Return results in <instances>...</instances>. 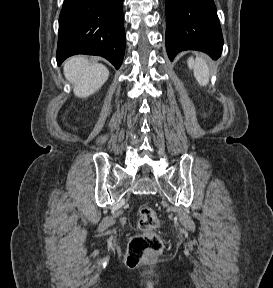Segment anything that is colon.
<instances>
[{
    "mask_svg": "<svg viewBox=\"0 0 273 288\" xmlns=\"http://www.w3.org/2000/svg\"><path fill=\"white\" fill-rule=\"evenodd\" d=\"M139 228L141 233L133 236L125 255L128 267H135L145 257H155L163 250V241L155 232L159 227V219L149 206L139 209Z\"/></svg>",
    "mask_w": 273,
    "mask_h": 288,
    "instance_id": "obj_1",
    "label": "colon"
}]
</instances>
